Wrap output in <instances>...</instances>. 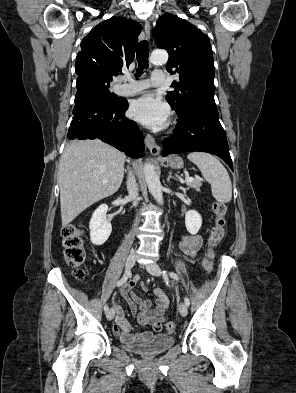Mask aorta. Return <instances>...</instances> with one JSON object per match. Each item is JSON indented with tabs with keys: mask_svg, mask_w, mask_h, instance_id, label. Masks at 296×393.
Instances as JSON below:
<instances>
[{
	"mask_svg": "<svg viewBox=\"0 0 296 393\" xmlns=\"http://www.w3.org/2000/svg\"><path fill=\"white\" fill-rule=\"evenodd\" d=\"M150 61L154 65H163L168 61V53L165 50H154L151 54ZM144 174L150 193L155 200L162 205V186L154 166L150 163H146L144 167Z\"/></svg>",
	"mask_w": 296,
	"mask_h": 393,
	"instance_id": "aorta-1",
	"label": "aorta"
}]
</instances>
